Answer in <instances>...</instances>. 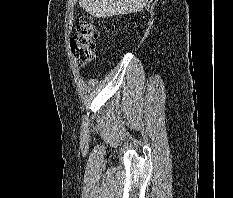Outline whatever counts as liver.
Returning <instances> with one entry per match:
<instances>
[{
    "label": "liver",
    "instance_id": "liver-1",
    "mask_svg": "<svg viewBox=\"0 0 233 198\" xmlns=\"http://www.w3.org/2000/svg\"><path fill=\"white\" fill-rule=\"evenodd\" d=\"M147 2L148 0H79L80 6L97 18L137 13Z\"/></svg>",
    "mask_w": 233,
    "mask_h": 198
}]
</instances>
